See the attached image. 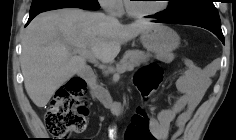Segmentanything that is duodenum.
Returning a JSON list of instances; mask_svg holds the SVG:
<instances>
[{
    "instance_id": "duodenum-1",
    "label": "duodenum",
    "mask_w": 236,
    "mask_h": 140,
    "mask_svg": "<svg viewBox=\"0 0 236 140\" xmlns=\"http://www.w3.org/2000/svg\"><path fill=\"white\" fill-rule=\"evenodd\" d=\"M80 72L82 76L90 82L95 78L93 71L88 67H83ZM92 96L97 99L104 107L113 110L116 115L120 116L123 114V107L115 103L100 87L95 86L93 88Z\"/></svg>"
}]
</instances>
